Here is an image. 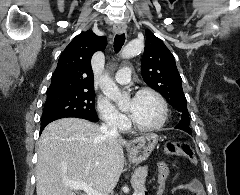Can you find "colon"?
Listing matches in <instances>:
<instances>
[{"label": "colon", "instance_id": "1", "mask_svg": "<svg viewBox=\"0 0 240 195\" xmlns=\"http://www.w3.org/2000/svg\"><path fill=\"white\" fill-rule=\"evenodd\" d=\"M178 153L184 154L190 162L196 166L197 158L194 155L191 147L185 142H168L165 147H162V154L168 156L169 159H172L173 156H176ZM168 162L163 161L162 165H158V191L167 190V176L171 174L170 167L167 166ZM190 191L194 195H204L202 186L198 182H192L189 186Z\"/></svg>", "mask_w": 240, "mask_h": 195}]
</instances>
